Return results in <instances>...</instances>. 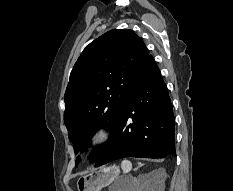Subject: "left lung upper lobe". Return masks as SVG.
<instances>
[{
	"label": "left lung upper lobe",
	"mask_w": 233,
	"mask_h": 191,
	"mask_svg": "<svg viewBox=\"0 0 233 191\" xmlns=\"http://www.w3.org/2000/svg\"><path fill=\"white\" fill-rule=\"evenodd\" d=\"M148 56L142 39L124 29L108 31L83 50L64 97V122L76 153L87 149L97 129L114 131L121 107ZM106 144L97 146L96 160Z\"/></svg>",
	"instance_id": "1"
}]
</instances>
